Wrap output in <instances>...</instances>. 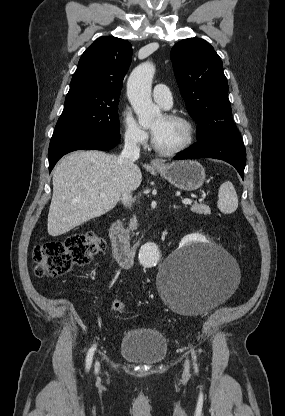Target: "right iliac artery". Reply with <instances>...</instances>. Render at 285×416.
<instances>
[{
  "mask_svg": "<svg viewBox=\"0 0 285 416\" xmlns=\"http://www.w3.org/2000/svg\"><path fill=\"white\" fill-rule=\"evenodd\" d=\"M96 345H94L88 352L87 354V358H86V369L88 370L91 366L92 363V357L94 354V350H95Z\"/></svg>",
  "mask_w": 285,
  "mask_h": 416,
  "instance_id": "82829eb1",
  "label": "right iliac artery"
}]
</instances>
